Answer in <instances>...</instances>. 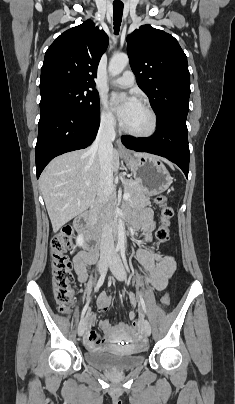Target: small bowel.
Returning <instances> with one entry per match:
<instances>
[{"mask_svg":"<svg viewBox=\"0 0 235 404\" xmlns=\"http://www.w3.org/2000/svg\"><path fill=\"white\" fill-rule=\"evenodd\" d=\"M133 227L140 232V246L137 256L146 268L147 274L144 280L151 285L154 290L161 291L166 288L169 278L176 269V260L171 255H162L153 252L147 245L151 242V235L155 227V219L153 212L149 208H144L138 217L133 219ZM74 269L78 275L80 282H85L88 277V265L91 261L90 253L85 251L78 252L73 259ZM131 304L135 306L136 301L131 298ZM112 305V299L105 293H100L97 298V308L101 312H107ZM86 321L84 330V345L87 349L92 350L104 346L105 341L111 343L128 340L132 336V329L126 322L112 326L107 320L99 322L100 329L105 334L101 338L91 328L95 324L96 317L93 311H86ZM129 319L133 320L136 316L135 310H131L128 314Z\"/></svg>","mask_w":235,"mask_h":404,"instance_id":"small-bowel-1","label":"small bowel"}]
</instances>
